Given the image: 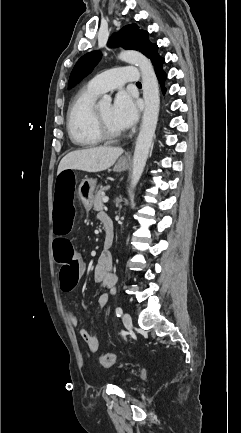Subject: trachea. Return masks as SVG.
Listing matches in <instances>:
<instances>
[{"mask_svg": "<svg viewBox=\"0 0 241 433\" xmlns=\"http://www.w3.org/2000/svg\"><path fill=\"white\" fill-rule=\"evenodd\" d=\"M136 84H137V85H141V83H140V82H137Z\"/></svg>", "mask_w": 241, "mask_h": 433, "instance_id": "trachea-1", "label": "trachea"}]
</instances>
